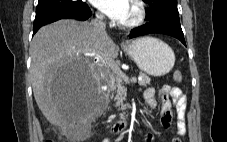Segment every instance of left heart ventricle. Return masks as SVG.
Wrapping results in <instances>:
<instances>
[{
	"instance_id": "obj_1",
	"label": "left heart ventricle",
	"mask_w": 227,
	"mask_h": 142,
	"mask_svg": "<svg viewBox=\"0 0 227 142\" xmlns=\"http://www.w3.org/2000/svg\"><path fill=\"white\" fill-rule=\"evenodd\" d=\"M134 15H135V8L131 3L127 18L124 20V22L130 21L134 17Z\"/></svg>"
}]
</instances>
